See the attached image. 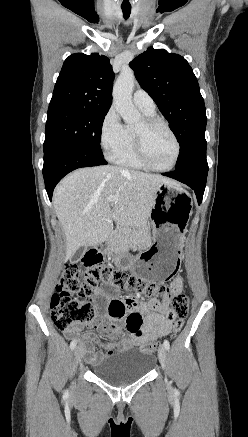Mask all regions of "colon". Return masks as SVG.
I'll use <instances>...</instances> for the list:
<instances>
[{
  "label": "colon",
  "instance_id": "5ec220e1",
  "mask_svg": "<svg viewBox=\"0 0 248 437\" xmlns=\"http://www.w3.org/2000/svg\"><path fill=\"white\" fill-rule=\"evenodd\" d=\"M98 283L113 284L134 296L147 299L166 296L170 303L169 317L173 320L171 337L181 331L189 311V300L185 294L166 286H144V279L117 272L103 264V256L88 257L87 254L80 265L67 264L58 279L56 292L51 299V317L58 329L66 330L73 325L82 326L94 321L95 308L90 295ZM157 347L158 343L146 342L140 349L152 353Z\"/></svg>",
  "mask_w": 248,
  "mask_h": 437
}]
</instances>
